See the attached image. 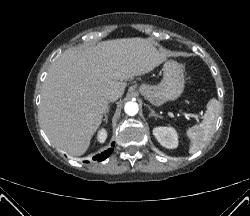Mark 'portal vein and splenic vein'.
I'll use <instances>...</instances> for the list:
<instances>
[{
  "mask_svg": "<svg viewBox=\"0 0 250 216\" xmlns=\"http://www.w3.org/2000/svg\"><path fill=\"white\" fill-rule=\"evenodd\" d=\"M185 117H192V118H195L196 120H198L199 116L198 115H195V114H184Z\"/></svg>",
  "mask_w": 250,
  "mask_h": 216,
  "instance_id": "1",
  "label": "portal vein and splenic vein"
}]
</instances>
